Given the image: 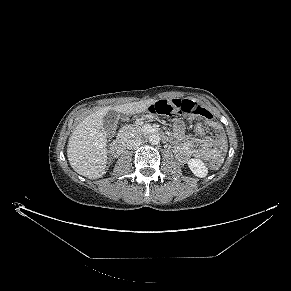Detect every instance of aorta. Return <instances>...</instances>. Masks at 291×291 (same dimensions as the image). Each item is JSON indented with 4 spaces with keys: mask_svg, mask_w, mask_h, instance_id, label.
<instances>
[{
    "mask_svg": "<svg viewBox=\"0 0 291 291\" xmlns=\"http://www.w3.org/2000/svg\"><path fill=\"white\" fill-rule=\"evenodd\" d=\"M160 142V137L158 134H152L149 136V143L152 145H157Z\"/></svg>",
    "mask_w": 291,
    "mask_h": 291,
    "instance_id": "762f6f07",
    "label": "aorta"
}]
</instances>
